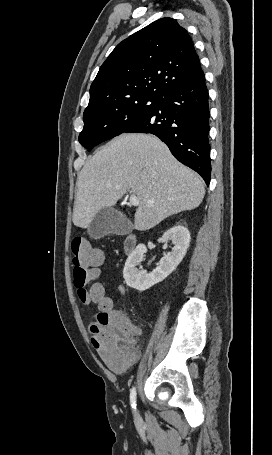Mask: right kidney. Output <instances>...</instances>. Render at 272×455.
Wrapping results in <instances>:
<instances>
[{"mask_svg":"<svg viewBox=\"0 0 272 455\" xmlns=\"http://www.w3.org/2000/svg\"><path fill=\"white\" fill-rule=\"evenodd\" d=\"M190 233L182 225H176L166 231L162 236V242L172 241L174 248L160 260V265L151 273H147L142 267L137 268L143 260L147 248L144 244H139L129 255L125 262L123 277L126 284L138 291H145L153 285L163 281L180 264L184 258L190 244Z\"/></svg>","mask_w":272,"mask_h":455,"instance_id":"obj_1","label":"right kidney"}]
</instances>
